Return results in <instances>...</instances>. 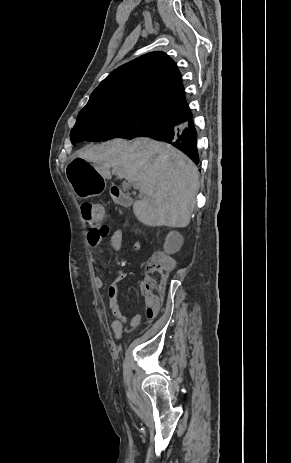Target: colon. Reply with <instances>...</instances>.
Wrapping results in <instances>:
<instances>
[{
  "label": "colon",
  "instance_id": "obj_1",
  "mask_svg": "<svg viewBox=\"0 0 291 463\" xmlns=\"http://www.w3.org/2000/svg\"><path fill=\"white\" fill-rule=\"evenodd\" d=\"M82 213L91 230H99L106 219L105 208L96 202L86 201L82 204ZM173 268V261L161 252L152 254L146 262L143 293L146 299V313L155 317L161 302L166 277Z\"/></svg>",
  "mask_w": 291,
  "mask_h": 463
}]
</instances>
